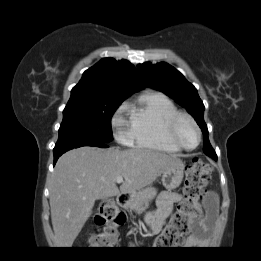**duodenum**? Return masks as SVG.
Returning <instances> with one entry per match:
<instances>
[{
	"label": "duodenum",
	"mask_w": 261,
	"mask_h": 261,
	"mask_svg": "<svg viewBox=\"0 0 261 261\" xmlns=\"http://www.w3.org/2000/svg\"><path fill=\"white\" fill-rule=\"evenodd\" d=\"M127 203H128V196L126 194H120L118 197H117V204L125 209L127 207Z\"/></svg>",
	"instance_id": "1"
}]
</instances>
